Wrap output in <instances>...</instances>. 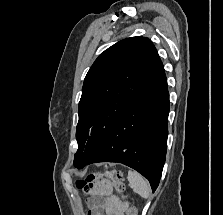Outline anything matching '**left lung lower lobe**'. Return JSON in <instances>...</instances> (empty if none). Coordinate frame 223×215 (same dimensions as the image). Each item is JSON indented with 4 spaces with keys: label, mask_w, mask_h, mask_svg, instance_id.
Here are the masks:
<instances>
[{
    "label": "left lung lower lobe",
    "mask_w": 223,
    "mask_h": 215,
    "mask_svg": "<svg viewBox=\"0 0 223 215\" xmlns=\"http://www.w3.org/2000/svg\"><path fill=\"white\" fill-rule=\"evenodd\" d=\"M168 114L169 93L162 66L86 165L106 161L125 164L147 178L154 192L165 163Z\"/></svg>",
    "instance_id": "1"
}]
</instances>
